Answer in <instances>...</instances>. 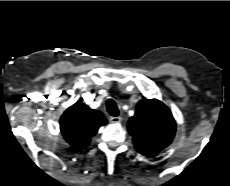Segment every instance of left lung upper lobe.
I'll return each mask as SVG.
<instances>
[{
    "instance_id": "obj_1",
    "label": "left lung upper lobe",
    "mask_w": 230,
    "mask_h": 186,
    "mask_svg": "<svg viewBox=\"0 0 230 186\" xmlns=\"http://www.w3.org/2000/svg\"><path fill=\"white\" fill-rule=\"evenodd\" d=\"M129 133L138 152L151 157L172 141L176 123L168 109L157 99L139 101L136 112L128 122Z\"/></svg>"
}]
</instances>
